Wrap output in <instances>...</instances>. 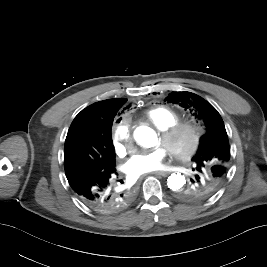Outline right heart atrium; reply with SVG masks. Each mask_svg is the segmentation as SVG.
I'll use <instances>...</instances> for the list:
<instances>
[{
    "instance_id": "right-heart-atrium-1",
    "label": "right heart atrium",
    "mask_w": 267,
    "mask_h": 267,
    "mask_svg": "<svg viewBox=\"0 0 267 267\" xmlns=\"http://www.w3.org/2000/svg\"><path fill=\"white\" fill-rule=\"evenodd\" d=\"M113 144L117 155L123 156L131 147V128L127 121H119L113 134Z\"/></svg>"
}]
</instances>
